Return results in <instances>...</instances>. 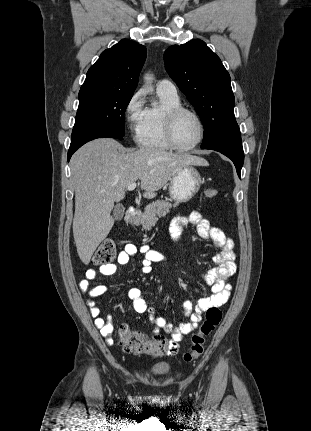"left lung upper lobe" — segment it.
Masks as SVG:
<instances>
[{"instance_id": "obj_1", "label": "left lung upper lobe", "mask_w": 311, "mask_h": 431, "mask_svg": "<svg viewBox=\"0 0 311 431\" xmlns=\"http://www.w3.org/2000/svg\"><path fill=\"white\" fill-rule=\"evenodd\" d=\"M169 76L187 96L204 125L201 148L241 138L234 116L235 98L230 75L220 58L199 39L164 53Z\"/></svg>"}]
</instances>
